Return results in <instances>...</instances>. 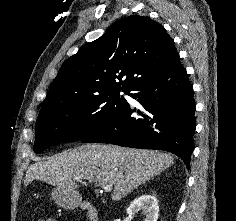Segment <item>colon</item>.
<instances>
[{
    "label": "colon",
    "mask_w": 236,
    "mask_h": 221,
    "mask_svg": "<svg viewBox=\"0 0 236 221\" xmlns=\"http://www.w3.org/2000/svg\"><path fill=\"white\" fill-rule=\"evenodd\" d=\"M37 221H55V219L52 218V217H46V218H43V219H39Z\"/></svg>",
    "instance_id": "5ec220e1"
}]
</instances>
